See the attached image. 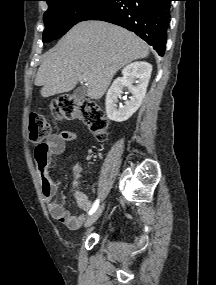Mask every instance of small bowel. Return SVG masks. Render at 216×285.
I'll list each match as a JSON object with an SVG mask.
<instances>
[{
    "label": "small bowel",
    "mask_w": 216,
    "mask_h": 285,
    "mask_svg": "<svg viewBox=\"0 0 216 285\" xmlns=\"http://www.w3.org/2000/svg\"><path fill=\"white\" fill-rule=\"evenodd\" d=\"M77 134L73 131L64 130L60 133L51 134L48 138L45 149L39 147L35 150V159L37 162L41 189L43 196L48 204V210L53 219L65 224L69 229H78L83 221L84 215H74L66 210L61 203L54 201L53 198L57 194L58 185L50 178L48 174V166L53 155H59L66 152V142L75 141ZM81 167L76 165L72 172V182L74 188V197L79 208L87 212L92 207V203L80 189Z\"/></svg>",
    "instance_id": "1"
}]
</instances>
